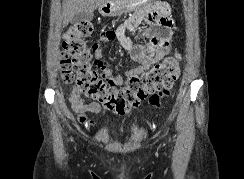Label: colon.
<instances>
[{
  "instance_id": "obj_1",
  "label": "colon",
  "mask_w": 244,
  "mask_h": 179,
  "mask_svg": "<svg viewBox=\"0 0 244 179\" xmlns=\"http://www.w3.org/2000/svg\"><path fill=\"white\" fill-rule=\"evenodd\" d=\"M93 29L92 24L84 22L70 26L64 33L61 60L64 81L79 87L86 96L103 102L108 111L118 115L135 110L144 93L150 94L146 108L161 107L180 75V57L169 56L149 70L129 76L123 87L112 88L99 74L85 41Z\"/></svg>"
}]
</instances>
